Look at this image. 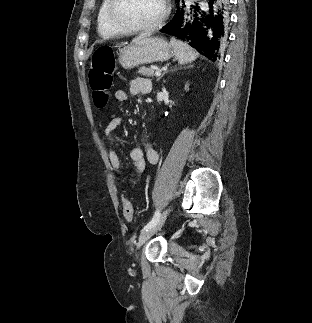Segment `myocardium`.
Segmentation results:
<instances>
[{"label": "myocardium", "mask_w": 312, "mask_h": 323, "mask_svg": "<svg viewBox=\"0 0 312 323\" xmlns=\"http://www.w3.org/2000/svg\"><path fill=\"white\" fill-rule=\"evenodd\" d=\"M106 2L109 5L105 15L109 21H113L114 31H150V27L163 25L164 21H168L172 11L171 0H160V14L155 20H123L116 14L119 2L117 0H106Z\"/></svg>", "instance_id": "myocardium-1"}]
</instances>
